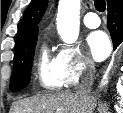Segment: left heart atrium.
Wrapping results in <instances>:
<instances>
[{"mask_svg": "<svg viewBox=\"0 0 123 113\" xmlns=\"http://www.w3.org/2000/svg\"><path fill=\"white\" fill-rule=\"evenodd\" d=\"M87 44L91 55L97 61L105 59L111 51V43L103 31H95L87 38Z\"/></svg>", "mask_w": 123, "mask_h": 113, "instance_id": "39dd6f15", "label": "left heart atrium"}]
</instances>
